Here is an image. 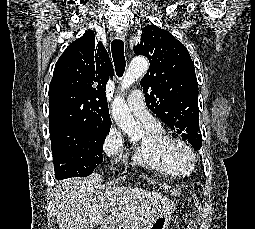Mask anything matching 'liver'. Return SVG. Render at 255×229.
Here are the masks:
<instances>
[{
    "label": "liver",
    "mask_w": 255,
    "mask_h": 229,
    "mask_svg": "<svg viewBox=\"0 0 255 229\" xmlns=\"http://www.w3.org/2000/svg\"><path fill=\"white\" fill-rule=\"evenodd\" d=\"M102 182L103 177L95 173L59 183L54 196L60 229H92L101 224L141 229L174 207L167 197L138 187L113 186L100 192Z\"/></svg>",
    "instance_id": "obj_1"
}]
</instances>
